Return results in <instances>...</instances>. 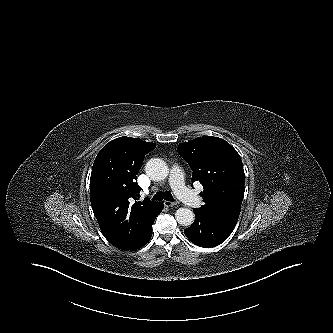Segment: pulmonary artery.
I'll list each match as a JSON object with an SVG mask.
<instances>
[{
	"label": "pulmonary artery",
	"mask_w": 333,
	"mask_h": 333,
	"mask_svg": "<svg viewBox=\"0 0 333 333\" xmlns=\"http://www.w3.org/2000/svg\"><path fill=\"white\" fill-rule=\"evenodd\" d=\"M169 182L176 196L186 205L194 208L202 205L201 199L185 186L183 172L178 166L172 168Z\"/></svg>",
	"instance_id": "pulmonary-artery-1"
}]
</instances>
